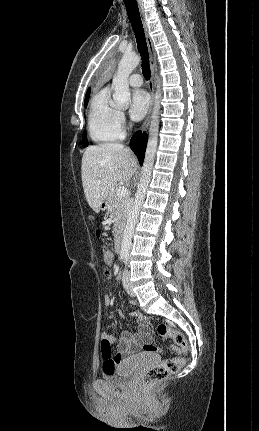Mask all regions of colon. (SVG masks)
<instances>
[{"label": "colon", "mask_w": 259, "mask_h": 431, "mask_svg": "<svg viewBox=\"0 0 259 431\" xmlns=\"http://www.w3.org/2000/svg\"><path fill=\"white\" fill-rule=\"evenodd\" d=\"M96 237L98 239L102 238V232L100 230L96 231ZM103 258L104 262L106 264V269L111 267L112 265V255L110 251L103 247ZM158 334L163 338H169L172 339L175 343V346H172L170 350L174 353H186L188 351V343L187 340L182 332H180L177 329H174L173 327L165 324L160 323L157 326ZM145 351L149 352H155L158 351L159 348L152 344H146L144 346ZM101 351L102 356H109L112 353V346L108 341H102L101 342ZM185 360L183 357L177 356L165 359L160 364L148 369L142 377V383L146 388H151L154 385L160 383L161 381L165 380L169 376L175 374L184 364ZM114 367L111 364H107L104 366V371L112 372L114 371Z\"/></svg>", "instance_id": "5ec220e1"}]
</instances>
